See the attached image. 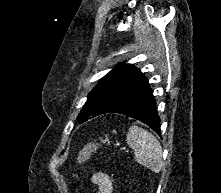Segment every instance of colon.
I'll use <instances>...</instances> for the list:
<instances>
[{
    "instance_id": "obj_1",
    "label": "colon",
    "mask_w": 221,
    "mask_h": 193,
    "mask_svg": "<svg viewBox=\"0 0 221 193\" xmlns=\"http://www.w3.org/2000/svg\"><path fill=\"white\" fill-rule=\"evenodd\" d=\"M96 148V145L90 144L86 146L79 154L77 159L78 166H83V164L87 161L89 158L90 153Z\"/></svg>"
}]
</instances>
